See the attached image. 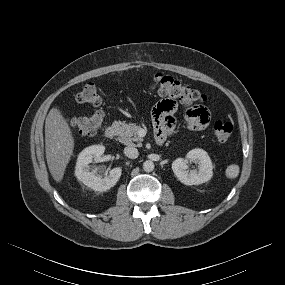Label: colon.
<instances>
[{
	"label": "colon",
	"instance_id": "colon-1",
	"mask_svg": "<svg viewBox=\"0 0 285 285\" xmlns=\"http://www.w3.org/2000/svg\"><path fill=\"white\" fill-rule=\"evenodd\" d=\"M154 86L161 96L172 95L181 103L193 104L205 100V95L183 83L166 75H157L154 78ZM76 100L79 103L90 104L97 109L94 113L85 117L71 118L69 125L74 133L89 136L95 134L102 126L104 113L100 109L102 100L93 83H86L77 93ZM234 126L231 122L218 120L212 126L214 139L219 143L226 142L232 135Z\"/></svg>",
	"mask_w": 285,
	"mask_h": 285
}]
</instances>
